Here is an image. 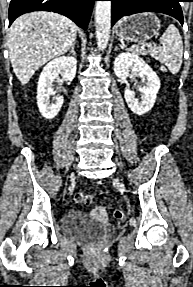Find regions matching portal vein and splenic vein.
<instances>
[{
	"label": "portal vein and splenic vein",
	"instance_id": "portal-vein-and-splenic-vein-1",
	"mask_svg": "<svg viewBox=\"0 0 193 287\" xmlns=\"http://www.w3.org/2000/svg\"><path fill=\"white\" fill-rule=\"evenodd\" d=\"M144 46L149 47V46H151V45H150V44H146V45H143L141 48H144Z\"/></svg>",
	"mask_w": 193,
	"mask_h": 287
}]
</instances>
